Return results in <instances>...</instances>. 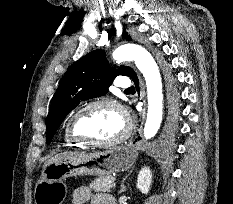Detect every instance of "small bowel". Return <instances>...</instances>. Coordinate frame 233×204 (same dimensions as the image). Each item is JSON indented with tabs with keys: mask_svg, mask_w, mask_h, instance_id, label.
Returning <instances> with one entry per match:
<instances>
[{
	"mask_svg": "<svg viewBox=\"0 0 233 204\" xmlns=\"http://www.w3.org/2000/svg\"><path fill=\"white\" fill-rule=\"evenodd\" d=\"M115 204L112 195L106 193H93L88 187L81 186L74 190L72 195L73 204Z\"/></svg>",
	"mask_w": 233,
	"mask_h": 204,
	"instance_id": "1",
	"label": "small bowel"
}]
</instances>
